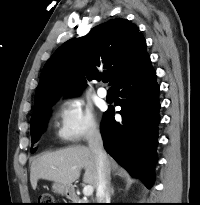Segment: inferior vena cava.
<instances>
[{"instance_id": "602c4592", "label": "inferior vena cava", "mask_w": 200, "mask_h": 205, "mask_svg": "<svg viewBox=\"0 0 200 205\" xmlns=\"http://www.w3.org/2000/svg\"><path fill=\"white\" fill-rule=\"evenodd\" d=\"M88 144L97 162L98 184L96 197L98 203H110V168L99 129L93 128L90 131Z\"/></svg>"}]
</instances>
